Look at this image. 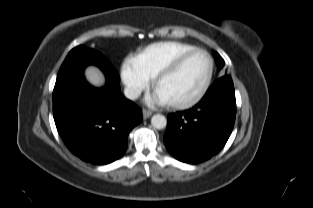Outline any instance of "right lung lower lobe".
Masks as SVG:
<instances>
[{"label":"right lung lower lobe","instance_id":"right-lung-lower-lobe-1","mask_svg":"<svg viewBox=\"0 0 313 208\" xmlns=\"http://www.w3.org/2000/svg\"><path fill=\"white\" fill-rule=\"evenodd\" d=\"M88 65L103 70L104 87L87 83ZM119 80L102 54L83 46L72 50L59 70L53 91L55 124L67 148L86 162L104 165L119 159L129 132L142 121L141 109L120 93Z\"/></svg>","mask_w":313,"mask_h":208}]
</instances>
